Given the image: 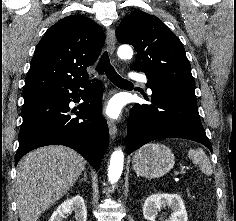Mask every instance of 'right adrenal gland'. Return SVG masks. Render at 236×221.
<instances>
[{
	"mask_svg": "<svg viewBox=\"0 0 236 221\" xmlns=\"http://www.w3.org/2000/svg\"><path fill=\"white\" fill-rule=\"evenodd\" d=\"M83 181L87 182V173H86V171L84 172L83 178H81L79 180L80 183L83 182Z\"/></svg>",
	"mask_w": 236,
	"mask_h": 221,
	"instance_id": "1",
	"label": "right adrenal gland"
}]
</instances>
